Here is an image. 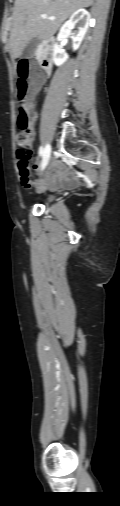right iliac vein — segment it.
<instances>
[{
  "instance_id": "63e3f726",
  "label": "right iliac vein",
  "mask_w": 120,
  "mask_h": 506,
  "mask_svg": "<svg viewBox=\"0 0 120 506\" xmlns=\"http://www.w3.org/2000/svg\"><path fill=\"white\" fill-rule=\"evenodd\" d=\"M50 155H51V146L49 144L46 145L45 147V152H44V155H43V160H42V164L44 162L45 159H50Z\"/></svg>"
}]
</instances>
